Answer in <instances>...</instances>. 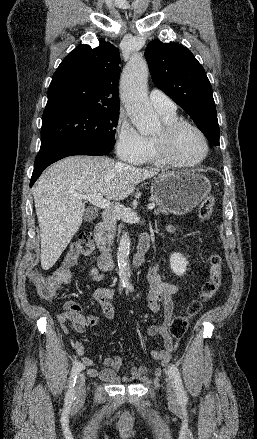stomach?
I'll return each instance as SVG.
<instances>
[{"label":"stomach","instance_id":"stomach-1","mask_svg":"<svg viewBox=\"0 0 257 439\" xmlns=\"http://www.w3.org/2000/svg\"><path fill=\"white\" fill-rule=\"evenodd\" d=\"M151 191L175 215L193 211L210 193L211 183L196 172L163 173L154 179Z\"/></svg>","mask_w":257,"mask_h":439}]
</instances>
